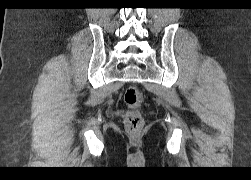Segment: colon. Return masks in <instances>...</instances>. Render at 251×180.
<instances>
[{"label": "colon", "mask_w": 251, "mask_h": 180, "mask_svg": "<svg viewBox=\"0 0 251 180\" xmlns=\"http://www.w3.org/2000/svg\"><path fill=\"white\" fill-rule=\"evenodd\" d=\"M123 98L128 108L124 116L125 128L129 133L136 134L144 125L140 112L144 100L143 94L138 88L130 86L125 90Z\"/></svg>", "instance_id": "obj_1"}]
</instances>
